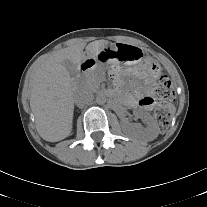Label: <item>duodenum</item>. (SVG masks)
<instances>
[{
  "mask_svg": "<svg viewBox=\"0 0 207 207\" xmlns=\"http://www.w3.org/2000/svg\"><path fill=\"white\" fill-rule=\"evenodd\" d=\"M94 63L91 60H85L80 64L79 73H83L88 69L92 68Z\"/></svg>",
  "mask_w": 207,
  "mask_h": 207,
  "instance_id": "obj_1",
  "label": "duodenum"
}]
</instances>
